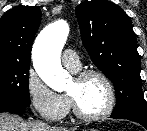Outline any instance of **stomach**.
Here are the masks:
<instances>
[{
  "label": "stomach",
  "instance_id": "0dacf381",
  "mask_svg": "<svg viewBox=\"0 0 147 131\" xmlns=\"http://www.w3.org/2000/svg\"><path fill=\"white\" fill-rule=\"evenodd\" d=\"M83 131H98L97 129H85V130H83Z\"/></svg>",
  "mask_w": 147,
  "mask_h": 131
}]
</instances>
